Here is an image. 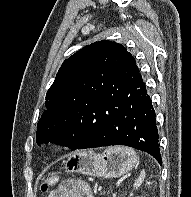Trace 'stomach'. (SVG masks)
<instances>
[{
    "mask_svg": "<svg viewBox=\"0 0 191 197\" xmlns=\"http://www.w3.org/2000/svg\"><path fill=\"white\" fill-rule=\"evenodd\" d=\"M134 164L127 155L120 154L113 148L105 150L102 154L81 150L65 161V170L69 173L117 178L127 173Z\"/></svg>",
    "mask_w": 191,
    "mask_h": 197,
    "instance_id": "0dacf381",
    "label": "stomach"
}]
</instances>
